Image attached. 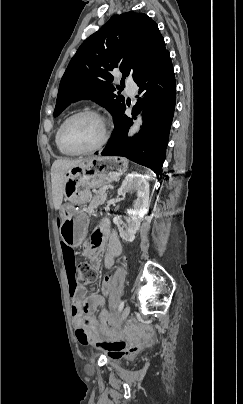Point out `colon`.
Segmentation results:
<instances>
[{
  "label": "colon",
  "instance_id": "obj_1",
  "mask_svg": "<svg viewBox=\"0 0 243 404\" xmlns=\"http://www.w3.org/2000/svg\"><path fill=\"white\" fill-rule=\"evenodd\" d=\"M97 279V272L92 264L88 262H82L78 266V281L81 283H92ZM103 293L110 295L112 293V278L107 276L103 280ZM148 344L146 338H139L134 340H122V339H106L97 341L96 345L103 348L114 355L134 354L142 347Z\"/></svg>",
  "mask_w": 243,
  "mask_h": 404
}]
</instances>
